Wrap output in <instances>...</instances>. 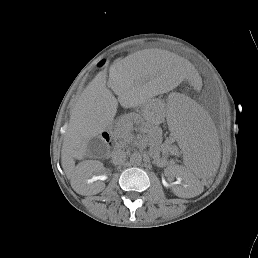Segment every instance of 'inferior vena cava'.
<instances>
[{
  "mask_svg": "<svg viewBox=\"0 0 258 258\" xmlns=\"http://www.w3.org/2000/svg\"><path fill=\"white\" fill-rule=\"evenodd\" d=\"M125 157L126 156H125L124 152H118L115 158H116L117 162L121 163L125 160Z\"/></svg>",
  "mask_w": 258,
  "mask_h": 258,
  "instance_id": "602c4592",
  "label": "inferior vena cava"
}]
</instances>
